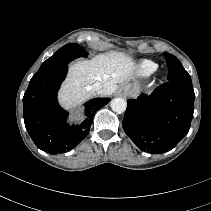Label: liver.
Here are the masks:
<instances>
[{
	"label": "liver",
	"mask_w": 211,
	"mask_h": 211,
	"mask_svg": "<svg viewBox=\"0 0 211 211\" xmlns=\"http://www.w3.org/2000/svg\"><path fill=\"white\" fill-rule=\"evenodd\" d=\"M135 68L130 56L117 52L77 61L69 67L68 77L58 94L59 102L65 108L81 104L96 94L92 89L96 82L103 86L101 95L109 96L117 91L118 84L132 78Z\"/></svg>",
	"instance_id": "1"
}]
</instances>
